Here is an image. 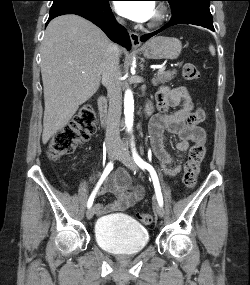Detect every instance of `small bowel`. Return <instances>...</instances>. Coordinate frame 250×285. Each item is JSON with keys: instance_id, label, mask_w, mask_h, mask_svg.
I'll use <instances>...</instances> for the list:
<instances>
[{"instance_id": "c3829d8e", "label": "small bowel", "mask_w": 250, "mask_h": 285, "mask_svg": "<svg viewBox=\"0 0 250 285\" xmlns=\"http://www.w3.org/2000/svg\"><path fill=\"white\" fill-rule=\"evenodd\" d=\"M155 100L158 113L150 121V143L165 173L175 176L180 172L181 165L175 163L167 150L165 136L173 134L178 137L176 149L181 153L188 151L190 143H204L205 132L199 125L204 118V111L200 108L194 109L193 97L185 87H162L156 92ZM172 108L176 109L170 111ZM131 181L128 172L119 169L106 184V189L116 196V200L107 205L96 204V214L122 211L141 200L144 188L140 185L132 186Z\"/></svg>"}]
</instances>
